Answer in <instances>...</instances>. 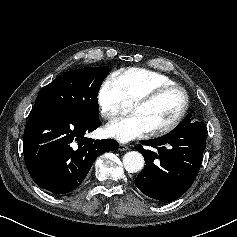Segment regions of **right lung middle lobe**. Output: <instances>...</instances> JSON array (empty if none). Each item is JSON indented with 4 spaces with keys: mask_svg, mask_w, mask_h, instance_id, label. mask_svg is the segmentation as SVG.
<instances>
[{
    "mask_svg": "<svg viewBox=\"0 0 237 237\" xmlns=\"http://www.w3.org/2000/svg\"><path fill=\"white\" fill-rule=\"evenodd\" d=\"M109 71L108 66H101L64 72L42 90L34 106L54 108L85 120L98 119L97 95Z\"/></svg>",
    "mask_w": 237,
    "mask_h": 237,
    "instance_id": "obj_1",
    "label": "right lung middle lobe"
}]
</instances>
